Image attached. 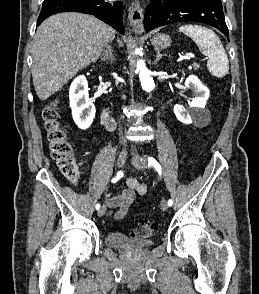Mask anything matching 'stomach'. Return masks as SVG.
<instances>
[{"mask_svg":"<svg viewBox=\"0 0 259 294\" xmlns=\"http://www.w3.org/2000/svg\"><path fill=\"white\" fill-rule=\"evenodd\" d=\"M171 38L166 34H156L152 37L151 43L156 50L166 49L171 45Z\"/></svg>","mask_w":259,"mask_h":294,"instance_id":"1","label":"stomach"}]
</instances>
